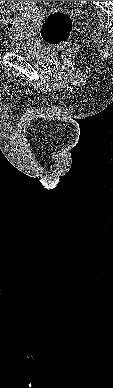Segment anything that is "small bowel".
<instances>
[{"label": "small bowel", "mask_w": 113, "mask_h": 388, "mask_svg": "<svg viewBox=\"0 0 113 388\" xmlns=\"http://www.w3.org/2000/svg\"><path fill=\"white\" fill-rule=\"evenodd\" d=\"M19 2H26V1H0V6L9 7L10 9L18 12L17 18L15 19V22H14V28H13L14 31H15V25L18 20L23 22L33 18L32 16L34 15H38L39 19L41 17V11L39 9H35L32 5L33 4L32 2L29 1V4H27V6L20 5Z\"/></svg>", "instance_id": "obj_1"}]
</instances>
